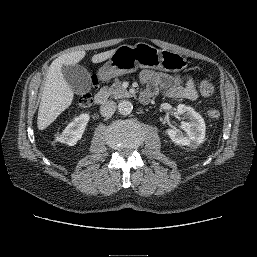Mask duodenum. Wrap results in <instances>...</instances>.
<instances>
[{
    "instance_id": "1",
    "label": "duodenum",
    "mask_w": 257,
    "mask_h": 257,
    "mask_svg": "<svg viewBox=\"0 0 257 257\" xmlns=\"http://www.w3.org/2000/svg\"><path fill=\"white\" fill-rule=\"evenodd\" d=\"M107 91H100L95 95V103L98 105H102L105 103L106 99H107Z\"/></svg>"
}]
</instances>
